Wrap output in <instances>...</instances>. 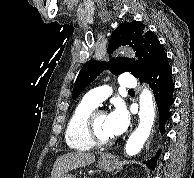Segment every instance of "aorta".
<instances>
[{"instance_id":"1","label":"aorta","mask_w":194,"mask_h":178,"mask_svg":"<svg viewBox=\"0 0 194 178\" xmlns=\"http://www.w3.org/2000/svg\"><path fill=\"white\" fill-rule=\"evenodd\" d=\"M139 124L126 142L125 152L129 156L139 153L144 143L149 138L155 118V105L152 93L148 88H143L139 99Z\"/></svg>"}]
</instances>
